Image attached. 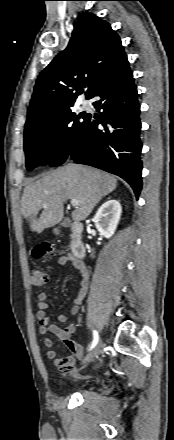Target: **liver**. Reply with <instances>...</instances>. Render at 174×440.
Instances as JSON below:
<instances>
[{
    "label": "liver",
    "instance_id": "obj_1",
    "mask_svg": "<svg viewBox=\"0 0 174 440\" xmlns=\"http://www.w3.org/2000/svg\"><path fill=\"white\" fill-rule=\"evenodd\" d=\"M117 187V179L109 173L77 164L60 167L41 179L28 184L22 195L21 213L33 232L59 223L64 214V202L75 199L71 216L75 222L84 220L96 204ZM43 210L40 217L37 215Z\"/></svg>",
    "mask_w": 174,
    "mask_h": 440
}]
</instances>
